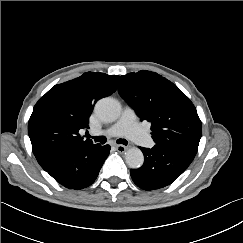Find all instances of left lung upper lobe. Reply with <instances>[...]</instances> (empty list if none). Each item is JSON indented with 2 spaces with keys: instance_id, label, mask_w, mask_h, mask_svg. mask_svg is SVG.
<instances>
[{
  "instance_id": "1",
  "label": "left lung upper lobe",
  "mask_w": 243,
  "mask_h": 243,
  "mask_svg": "<svg viewBox=\"0 0 243 243\" xmlns=\"http://www.w3.org/2000/svg\"><path fill=\"white\" fill-rule=\"evenodd\" d=\"M119 93L141 121L151 123L158 145H199L202 123L190 99L172 82L151 71L120 77Z\"/></svg>"
}]
</instances>
